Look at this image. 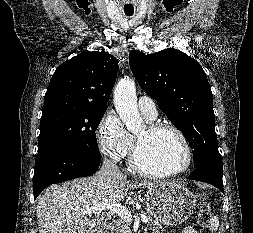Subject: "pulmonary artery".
I'll return each instance as SVG.
<instances>
[{
	"mask_svg": "<svg viewBox=\"0 0 253 233\" xmlns=\"http://www.w3.org/2000/svg\"><path fill=\"white\" fill-rule=\"evenodd\" d=\"M138 107L140 113L146 118L150 120H154L157 115V107L153 99L149 96H140L138 99Z\"/></svg>",
	"mask_w": 253,
	"mask_h": 233,
	"instance_id": "1",
	"label": "pulmonary artery"
}]
</instances>
